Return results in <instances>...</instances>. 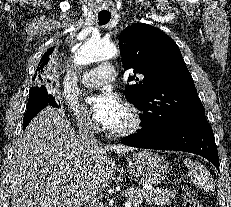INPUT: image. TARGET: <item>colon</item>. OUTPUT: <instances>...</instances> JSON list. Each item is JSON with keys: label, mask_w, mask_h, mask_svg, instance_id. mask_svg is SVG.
I'll return each instance as SVG.
<instances>
[{"label": "colon", "mask_w": 231, "mask_h": 207, "mask_svg": "<svg viewBox=\"0 0 231 207\" xmlns=\"http://www.w3.org/2000/svg\"><path fill=\"white\" fill-rule=\"evenodd\" d=\"M183 207H202L201 203L194 198L191 194L184 195Z\"/></svg>", "instance_id": "obj_1"}]
</instances>
